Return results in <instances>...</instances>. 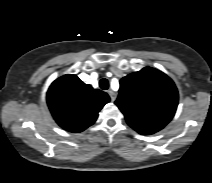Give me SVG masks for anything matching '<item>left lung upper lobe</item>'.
I'll use <instances>...</instances> for the list:
<instances>
[{
	"label": "left lung upper lobe",
	"instance_id": "5c2ea615",
	"mask_svg": "<svg viewBox=\"0 0 212 183\" xmlns=\"http://www.w3.org/2000/svg\"><path fill=\"white\" fill-rule=\"evenodd\" d=\"M178 92L163 72L145 67L120 80L115 104L130 127L143 135L161 130L174 116Z\"/></svg>",
	"mask_w": 212,
	"mask_h": 183
}]
</instances>
